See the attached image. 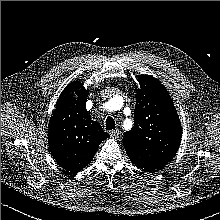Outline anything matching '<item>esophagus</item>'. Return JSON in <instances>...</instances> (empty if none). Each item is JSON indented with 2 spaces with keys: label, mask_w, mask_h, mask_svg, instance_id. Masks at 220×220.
<instances>
[{
  "label": "esophagus",
  "mask_w": 220,
  "mask_h": 220,
  "mask_svg": "<svg viewBox=\"0 0 220 220\" xmlns=\"http://www.w3.org/2000/svg\"><path fill=\"white\" fill-rule=\"evenodd\" d=\"M109 134H110L111 138L116 139V138H118L120 131H119V129H115V130L110 131Z\"/></svg>",
  "instance_id": "esophagus-1"
}]
</instances>
